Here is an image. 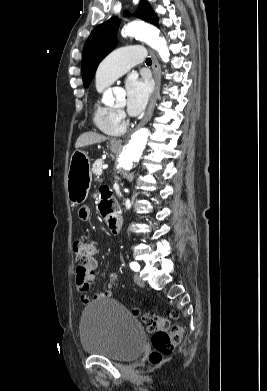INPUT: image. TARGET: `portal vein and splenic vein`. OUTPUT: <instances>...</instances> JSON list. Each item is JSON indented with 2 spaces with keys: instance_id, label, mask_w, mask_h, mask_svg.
I'll return each mask as SVG.
<instances>
[{
  "instance_id": "1",
  "label": "portal vein and splenic vein",
  "mask_w": 267,
  "mask_h": 391,
  "mask_svg": "<svg viewBox=\"0 0 267 391\" xmlns=\"http://www.w3.org/2000/svg\"><path fill=\"white\" fill-rule=\"evenodd\" d=\"M102 168H103V169H107V168H108V165L105 164V165L102 166Z\"/></svg>"
}]
</instances>
